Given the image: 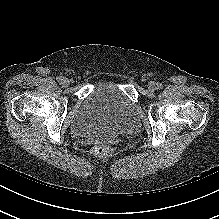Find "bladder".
I'll use <instances>...</instances> for the list:
<instances>
[{
    "label": "bladder",
    "mask_w": 219,
    "mask_h": 219,
    "mask_svg": "<svg viewBox=\"0 0 219 219\" xmlns=\"http://www.w3.org/2000/svg\"><path fill=\"white\" fill-rule=\"evenodd\" d=\"M138 122V108L122 86L104 79L95 83L80 102L70 122V130L78 138L97 141L125 133Z\"/></svg>",
    "instance_id": "1"
}]
</instances>
